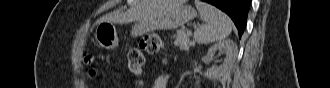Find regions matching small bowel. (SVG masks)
<instances>
[{"instance_id": "c3829d8e", "label": "small bowel", "mask_w": 330, "mask_h": 88, "mask_svg": "<svg viewBox=\"0 0 330 88\" xmlns=\"http://www.w3.org/2000/svg\"><path fill=\"white\" fill-rule=\"evenodd\" d=\"M166 86V76L162 75L158 77L154 82V88H165Z\"/></svg>"}]
</instances>
